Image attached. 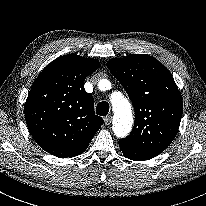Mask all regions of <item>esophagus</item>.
I'll use <instances>...</instances> for the list:
<instances>
[{"label": "esophagus", "instance_id": "esophagus-1", "mask_svg": "<svg viewBox=\"0 0 206 206\" xmlns=\"http://www.w3.org/2000/svg\"><path fill=\"white\" fill-rule=\"evenodd\" d=\"M111 122H112V116L109 115V116L104 117V123L106 125H110Z\"/></svg>", "mask_w": 206, "mask_h": 206}]
</instances>
